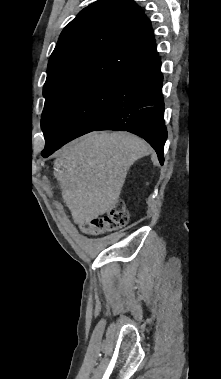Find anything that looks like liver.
Instances as JSON below:
<instances>
[{
  "label": "liver",
  "instance_id": "6515ba94",
  "mask_svg": "<svg viewBox=\"0 0 221 379\" xmlns=\"http://www.w3.org/2000/svg\"><path fill=\"white\" fill-rule=\"evenodd\" d=\"M152 152L138 136L127 132L89 133L56 153L55 177L77 224L112 210L131 165Z\"/></svg>",
  "mask_w": 221,
  "mask_h": 379
}]
</instances>
